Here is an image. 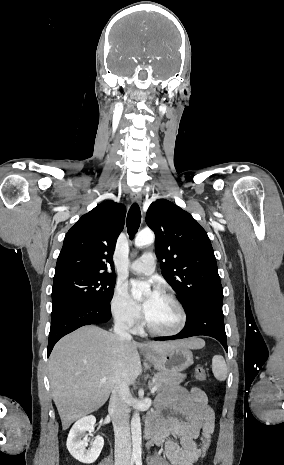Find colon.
I'll list each match as a JSON object with an SVG mask.
<instances>
[{
  "label": "colon",
  "mask_w": 284,
  "mask_h": 465,
  "mask_svg": "<svg viewBox=\"0 0 284 465\" xmlns=\"http://www.w3.org/2000/svg\"><path fill=\"white\" fill-rule=\"evenodd\" d=\"M195 376L198 380L201 381H205L207 378L206 371L202 367L196 368ZM200 446L204 449V453H202V461L206 462L209 456V451L212 449L211 441L207 437H204L203 440L200 442Z\"/></svg>",
  "instance_id": "colon-1"
}]
</instances>
